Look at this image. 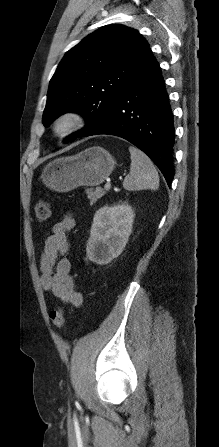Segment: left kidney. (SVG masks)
I'll use <instances>...</instances> for the list:
<instances>
[{
	"instance_id": "obj_1",
	"label": "left kidney",
	"mask_w": 219,
	"mask_h": 447,
	"mask_svg": "<svg viewBox=\"0 0 219 447\" xmlns=\"http://www.w3.org/2000/svg\"><path fill=\"white\" fill-rule=\"evenodd\" d=\"M134 211L128 204L104 206L94 215L86 253L90 261L105 265L118 257L132 231Z\"/></svg>"
}]
</instances>
